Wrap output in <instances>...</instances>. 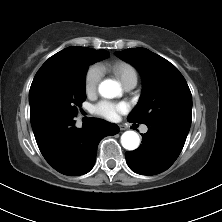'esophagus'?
<instances>
[{"mask_svg": "<svg viewBox=\"0 0 222 222\" xmlns=\"http://www.w3.org/2000/svg\"><path fill=\"white\" fill-rule=\"evenodd\" d=\"M119 128H120V130H121V131L126 130V127H125V126H123V125H119Z\"/></svg>", "mask_w": 222, "mask_h": 222, "instance_id": "1", "label": "esophagus"}]
</instances>
